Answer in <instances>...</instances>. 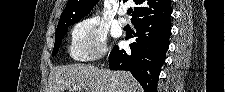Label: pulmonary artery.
<instances>
[{
  "label": "pulmonary artery",
  "mask_w": 225,
  "mask_h": 92,
  "mask_svg": "<svg viewBox=\"0 0 225 92\" xmlns=\"http://www.w3.org/2000/svg\"><path fill=\"white\" fill-rule=\"evenodd\" d=\"M125 13H126V12H125L124 10H122V11L119 12L120 17H119V19H118V24H119L121 27L127 25V23H128L127 19L124 17V14H125Z\"/></svg>",
  "instance_id": "e3ab8cb5"
}]
</instances>
